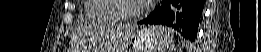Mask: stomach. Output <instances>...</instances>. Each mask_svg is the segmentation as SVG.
Instances as JSON below:
<instances>
[{
  "label": "stomach",
  "mask_w": 261,
  "mask_h": 52,
  "mask_svg": "<svg viewBox=\"0 0 261 52\" xmlns=\"http://www.w3.org/2000/svg\"><path fill=\"white\" fill-rule=\"evenodd\" d=\"M159 44L155 28L131 29L122 39L120 52H154Z\"/></svg>",
  "instance_id": "1"
}]
</instances>
